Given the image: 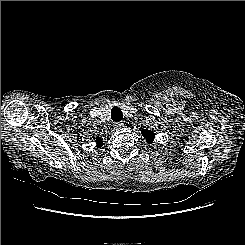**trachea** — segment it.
Here are the masks:
<instances>
[{
	"mask_svg": "<svg viewBox=\"0 0 245 245\" xmlns=\"http://www.w3.org/2000/svg\"><path fill=\"white\" fill-rule=\"evenodd\" d=\"M111 118L112 120L118 122V121H121L122 118H123V114H122V111L119 107H113L112 110H111Z\"/></svg>",
	"mask_w": 245,
	"mask_h": 245,
	"instance_id": "trachea-1",
	"label": "trachea"
}]
</instances>
